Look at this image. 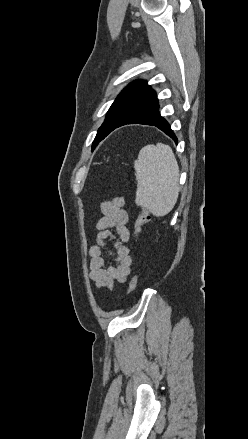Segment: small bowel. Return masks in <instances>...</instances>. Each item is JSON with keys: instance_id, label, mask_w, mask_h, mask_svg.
Returning <instances> with one entry per match:
<instances>
[{"instance_id": "c3829d8e", "label": "small bowel", "mask_w": 248, "mask_h": 439, "mask_svg": "<svg viewBox=\"0 0 248 439\" xmlns=\"http://www.w3.org/2000/svg\"><path fill=\"white\" fill-rule=\"evenodd\" d=\"M124 198H115L100 204L102 217L96 223L97 243L88 250L89 277L98 289L110 292L116 283H124L131 272L132 257L125 245L131 238L127 227L129 216L124 209ZM109 244L112 248L109 249ZM115 258L116 266L105 265L103 251Z\"/></svg>"}]
</instances>
